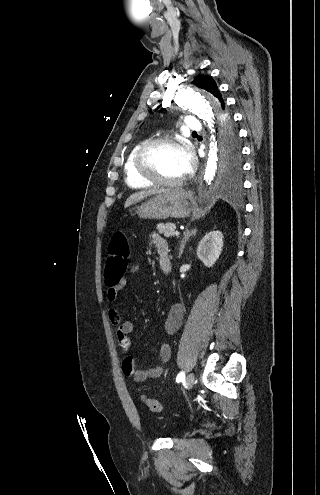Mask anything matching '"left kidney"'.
<instances>
[{
	"label": "left kidney",
	"mask_w": 320,
	"mask_h": 495,
	"mask_svg": "<svg viewBox=\"0 0 320 495\" xmlns=\"http://www.w3.org/2000/svg\"><path fill=\"white\" fill-rule=\"evenodd\" d=\"M222 247L223 234L220 231L210 232L200 241L197 248V256L205 266L211 267L218 260Z\"/></svg>",
	"instance_id": "5707ae66"
}]
</instances>
